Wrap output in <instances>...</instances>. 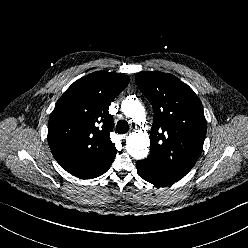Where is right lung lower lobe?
I'll list each match as a JSON object with an SVG mask.
<instances>
[{
  "mask_svg": "<svg viewBox=\"0 0 248 248\" xmlns=\"http://www.w3.org/2000/svg\"><path fill=\"white\" fill-rule=\"evenodd\" d=\"M110 166H111V164H110L109 166H107L106 169H105L100 175L104 174V173L110 168ZM100 175H99V176H100ZM97 177H98V176H97Z\"/></svg>",
  "mask_w": 248,
  "mask_h": 248,
  "instance_id": "obj_1",
  "label": "right lung lower lobe"
}]
</instances>
